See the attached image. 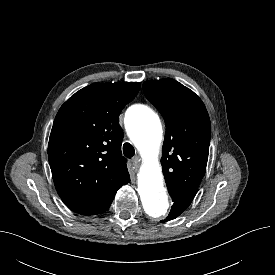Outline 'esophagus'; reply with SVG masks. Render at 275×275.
<instances>
[{
	"instance_id": "34e87169",
	"label": "esophagus",
	"mask_w": 275,
	"mask_h": 275,
	"mask_svg": "<svg viewBox=\"0 0 275 275\" xmlns=\"http://www.w3.org/2000/svg\"><path fill=\"white\" fill-rule=\"evenodd\" d=\"M132 162L134 164L135 167H139L140 163H141V158L139 156H135L133 159H132Z\"/></svg>"
}]
</instances>
